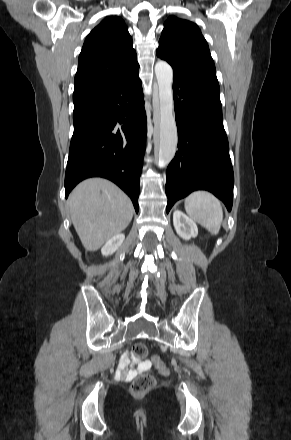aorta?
<instances>
[{"mask_svg":"<svg viewBox=\"0 0 291 440\" xmlns=\"http://www.w3.org/2000/svg\"><path fill=\"white\" fill-rule=\"evenodd\" d=\"M154 70L158 82V100L160 108L158 164L160 167H165L174 158L178 143L172 90L173 71L171 66L163 60H160L155 64Z\"/></svg>","mask_w":291,"mask_h":440,"instance_id":"762f6f07","label":"aorta"}]
</instances>
